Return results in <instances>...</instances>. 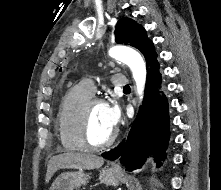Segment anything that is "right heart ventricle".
<instances>
[{"instance_id": "e07e8e85", "label": "right heart ventricle", "mask_w": 221, "mask_h": 190, "mask_svg": "<svg viewBox=\"0 0 221 190\" xmlns=\"http://www.w3.org/2000/svg\"><path fill=\"white\" fill-rule=\"evenodd\" d=\"M92 98L82 84L72 87L63 98L57 114V132L65 151H82L77 138V121L81 107Z\"/></svg>"}]
</instances>
